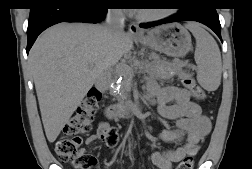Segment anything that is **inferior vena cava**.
Instances as JSON below:
<instances>
[{
    "instance_id": "inferior-vena-cava-1",
    "label": "inferior vena cava",
    "mask_w": 252,
    "mask_h": 169,
    "mask_svg": "<svg viewBox=\"0 0 252 169\" xmlns=\"http://www.w3.org/2000/svg\"><path fill=\"white\" fill-rule=\"evenodd\" d=\"M124 21L123 9H108L104 26L105 34L114 39L120 38L124 33Z\"/></svg>"
}]
</instances>
